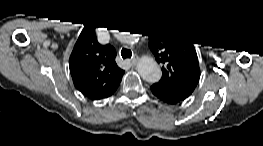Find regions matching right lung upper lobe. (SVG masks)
I'll return each instance as SVG.
<instances>
[{
    "label": "right lung upper lobe",
    "mask_w": 263,
    "mask_h": 146,
    "mask_svg": "<svg viewBox=\"0 0 263 146\" xmlns=\"http://www.w3.org/2000/svg\"><path fill=\"white\" fill-rule=\"evenodd\" d=\"M115 57L113 46L99 44L95 27L86 25L69 59L70 73L76 89L92 100L111 96L124 74V70L117 66Z\"/></svg>",
    "instance_id": "obj_1"
}]
</instances>
